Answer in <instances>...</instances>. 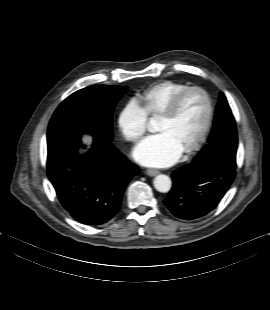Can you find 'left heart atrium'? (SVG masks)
I'll use <instances>...</instances> for the list:
<instances>
[{"instance_id": "left-heart-atrium-1", "label": "left heart atrium", "mask_w": 270, "mask_h": 310, "mask_svg": "<svg viewBox=\"0 0 270 310\" xmlns=\"http://www.w3.org/2000/svg\"><path fill=\"white\" fill-rule=\"evenodd\" d=\"M183 150L165 132L150 135L133 150L134 159L145 166L163 167L174 163Z\"/></svg>"}]
</instances>
